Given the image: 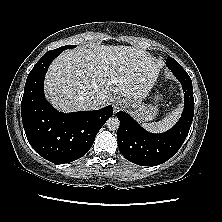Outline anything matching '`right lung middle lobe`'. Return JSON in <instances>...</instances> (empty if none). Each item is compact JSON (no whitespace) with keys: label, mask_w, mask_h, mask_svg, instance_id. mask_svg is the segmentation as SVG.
<instances>
[{"label":"right lung middle lobe","mask_w":222,"mask_h":222,"mask_svg":"<svg viewBox=\"0 0 222 222\" xmlns=\"http://www.w3.org/2000/svg\"><path fill=\"white\" fill-rule=\"evenodd\" d=\"M76 45H66V46H62L60 48H57V49H54V50H51V51H48V52H59L61 53L63 50H66V49H71V48H75Z\"/></svg>","instance_id":"1"}]
</instances>
